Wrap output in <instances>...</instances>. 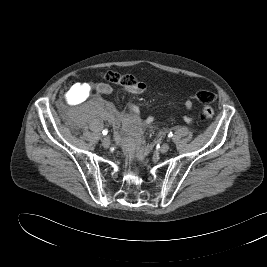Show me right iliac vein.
Instances as JSON below:
<instances>
[{
  "label": "right iliac vein",
  "instance_id": "63e3f726",
  "mask_svg": "<svg viewBox=\"0 0 267 267\" xmlns=\"http://www.w3.org/2000/svg\"><path fill=\"white\" fill-rule=\"evenodd\" d=\"M102 145L105 147V148H108L110 146V138L109 137H105L103 138L102 140Z\"/></svg>",
  "mask_w": 267,
  "mask_h": 267
}]
</instances>
